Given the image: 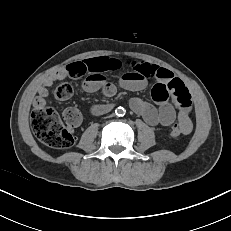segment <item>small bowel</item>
<instances>
[{
	"mask_svg": "<svg viewBox=\"0 0 231 231\" xmlns=\"http://www.w3.org/2000/svg\"><path fill=\"white\" fill-rule=\"evenodd\" d=\"M78 63L83 75L86 76L83 89L86 92L100 90L104 96L110 97L116 93L117 85L107 81L105 73L123 70L118 77V86L130 90L144 89L150 79L155 80L151 96L155 105L140 98L130 100L131 109L140 115L150 125L170 126L175 120L189 134L192 129L190 118L192 110L191 94L185 84L176 78L171 71L156 64L144 61H131L124 63L120 60L106 56L83 60ZM67 76L66 68L59 69L53 75L45 78L37 89L34 106L46 105L48 88L57 80ZM103 106L96 107L93 111H101Z\"/></svg>",
	"mask_w": 231,
	"mask_h": 231,
	"instance_id": "small-bowel-1",
	"label": "small bowel"
}]
</instances>
